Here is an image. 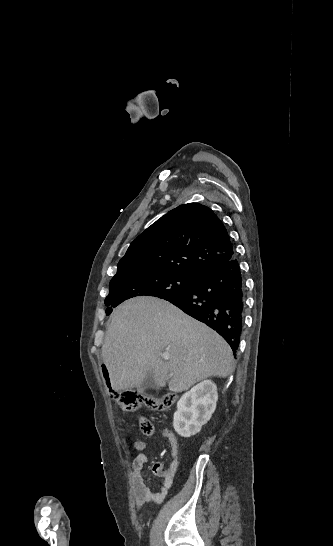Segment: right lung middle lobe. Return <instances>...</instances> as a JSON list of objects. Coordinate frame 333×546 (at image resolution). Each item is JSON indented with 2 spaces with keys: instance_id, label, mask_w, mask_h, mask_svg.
<instances>
[{
  "instance_id": "dd1d6c3e",
  "label": "right lung middle lobe",
  "mask_w": 333,
  "mask_h": 546,
  "mask_svg": "<svg viewBox=\"0 0 333 546\" xmlns=\"http://www.w3.org/2000/svg\"><path fill=\"white\" fill-rule=\"evenodd\" d=\"M197 281V276L175 272L143 271L134 267L117 269L116 275L110 281V292L105 299V304L116 307L123 301L136 296L165 298L178 295L192 289Z\"/></svg>"
}]
</instances>
